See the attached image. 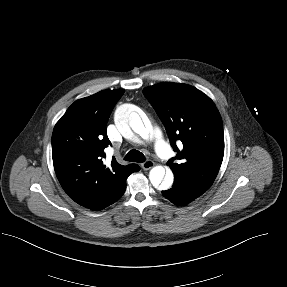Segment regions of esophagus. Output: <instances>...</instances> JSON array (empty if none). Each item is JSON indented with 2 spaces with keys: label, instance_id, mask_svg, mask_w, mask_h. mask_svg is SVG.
I'll return each mask as SVG.
<instances>
[{
  "label": "esophagus",
  "instance_id": "obj_1",
  "mask_svg": "<svg viewBox=\"0 0 287 287\" xmlns=\"http://www.w3.org/2000/svg\"><path fill=\"white\" fill-rule=\"evenodd\" d=\"M155 163L152 161V160H146L145 162H143L141 164V167L144 169V170H149L151 169L152 167H154Z\"/></svg>",
  "mask_w": 287,
  "mask_h": 287
}]
</instances>
